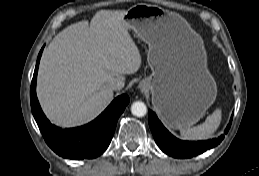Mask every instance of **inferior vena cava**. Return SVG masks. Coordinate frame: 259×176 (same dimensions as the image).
<instances>
[{"label": "inferior vena cava", "mask_w": 259, "mask_h": 176, "mask_svg": "<svg viewBox=\"0 0 259 176\" xmlns=\"http://www.w3.org/2000/svg\"><path fill=\"white\" fill-rule=\"evenodd\" d=\"M110 87L112 90H121L124 87V81L121 79H115L111 84Z\"/></svg>", "instance_id": "obj_1"}]
</instances>
